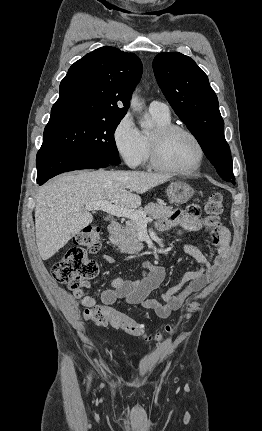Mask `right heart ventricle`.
Masks as SVG:
<instances>
[{
  "label": "right heart ventricle",
  "mask_w": 262,
  "mask_h": 431,
  "mask_svg": "<svg viewBox=\"0 0 262 431\" xmlns=\"http://www.w3.org/2000/svg\"><path fill=\"white\" fill-rule=\"evenodd\" d=\"M151 117L153 118L154 122L156 123L157 126H164V125H169L171 124V117L170 115L168 116H163L157 113H153L150 112ZM142 140L144 142V148H145V153H144V158L143 161H148V159L150 158L149 155V139L151 134L147 133V132H142Z\"/></svg>",
  "instance_id": "e07e8e85"
}]
</instances>
